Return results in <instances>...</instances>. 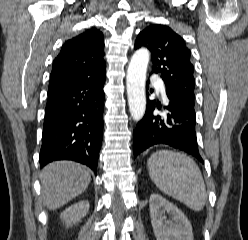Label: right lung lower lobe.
I'll return each mask as SVG.
<instances>
[{"mask_svg": "<svg viewBox=\"0 0 248 240\" xmlns=\"http://www.w3.org/2000/svg\"><path fill=\"white\" fill-rule=\"evenodd\" d=\"M105 74L48 91L41 167L55 160H73L95 173L103 135Z\"/></svg>", "mask_w": 248, "mask_h": 240, "instance_id": "right-lung-lower-lobe-1", "label": "right lung lower lobe"}]
</instances>
